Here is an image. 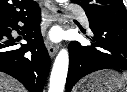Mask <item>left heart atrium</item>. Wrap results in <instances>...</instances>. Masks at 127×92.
I'll return each mask as SVG.
<instances>
[{
  "label": "left heart atrium",
  "mask_w": 127,
  "mask_h": 92,
  "mask_svg": "<svg viewBox=\"0 0 127 92\" xmlns=\"http://www.w3.org/2000/svg\"><path fill=\"white\" fill-rule=\"evenodd\" d=\"M52 37H53V38H56V35H55V34H53V35H52Z\"/></svg>",
  "instance_id": "obj_1"
}]
</instances>
